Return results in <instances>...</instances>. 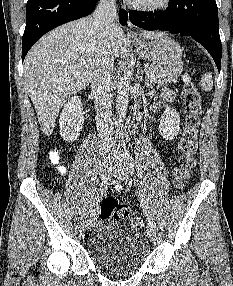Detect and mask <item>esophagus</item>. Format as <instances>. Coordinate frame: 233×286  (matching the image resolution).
Segmentation results:
<instances>
[{"label": "esophagus", "instance_id": "obj_1", "mask_svg": "<svg viewBox=\"0 0 233 286\" xmlns=\"http://www.w3.org/2000/svg\"><path fill=\"white\" fill-rule=\"evenodd\" d=\"M126 29H127V33L130 35V36H136V31H135V27L133 25V23L128 20L127 22V26H126Z\"/></svg>", "mask_w": 233, "mask_h": 286}]
</instances>
